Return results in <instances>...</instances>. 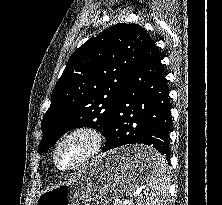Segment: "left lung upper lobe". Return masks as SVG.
Returning <instances> with one entry per match:
<instances>
[{
	"label": "left lung upper lobe",
	"mask_w": 222,
	"mask_h": 205,
	"mask_svg": "<svg viewBox=\"0 0 222 205\" xmlns=\"http://www.w3.org/2000/svg\"><path fill=\"white\" fill-rule=\"evenodd\" d=\"M149 38L140 25L120 23L71 55L43 116L38 153L74 128L91 127L107 135L128 74Z\"/></svg>",
	"instance_id": "5c2ea615"
}]
</instances>
